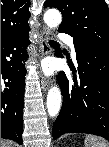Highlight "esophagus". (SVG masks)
I'll return each mask as SVG.
<instances>
[{
	"label": "esophagus",
	"mask_w": 109,
	"mask_h": 147,
	"mask_svg": "<svg viewBox=\"0 0 109 147\" xmlns=\"http://www.w3.org/2000/svg\"><path fill=\"white\" fill-rule=\"evenodd\" d=\"M51 35L52 32L47 27H43L40 36V52L42 56H45L51 52L50 46L48 44V40L51 37ZM41 85L44 90H47L51 85L50 79L42 77Z\"/></svg>",
	"instance_id": "1"
}]
</instances>
